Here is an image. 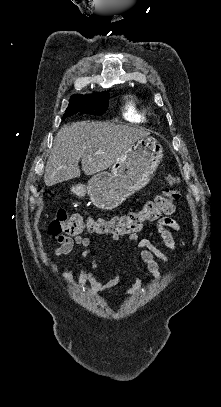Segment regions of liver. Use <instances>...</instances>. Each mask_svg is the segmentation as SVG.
I'll list each match as a JSON object with an SVG mask.
<instances>
[{
	"label": "liver",
	"mask_w": 221,
	"mask_h": 407,
	"mask_svg": "<svg viewBox=\"0 0 221 407\" xmlns=\"http://www.w3.org/2000/svg\"><path fill=\"white\" fill-rule=\"evenodd\" d=\"M143 128L108 122L78 121L56 133L48 157L44 182L53 186L80 176L93 175L113 165L138 139L148 136Z\"/></svg>",
	"instance_id": "liver-1"
}]
</instances>
